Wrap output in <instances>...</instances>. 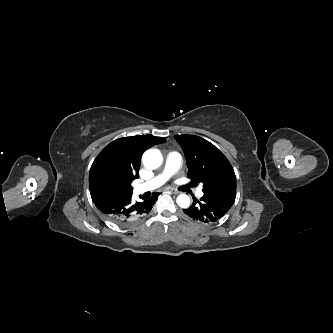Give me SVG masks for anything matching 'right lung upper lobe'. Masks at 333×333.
<instances>
[{
  "label": "right lung upper lobe",
  "mask_w": 333,
  "mask_h": 333,
  "mask_svg": "<svg viewBox=\"0 0 333 333\" xmlns=\"http://www.w3.org/2000/svg\"><path fill=\"white\" fill-rule=\"evenodd\" d=\"M164 137L141 135L119 138L108 144L95 158L89 172L91 195L104 191L99 182V174L104 168L121 171L129 179L138 178L141 156L150 147L164 143Z\"/></svg>",
  "instance_id": "cb5924a9"
}]
</instances>
